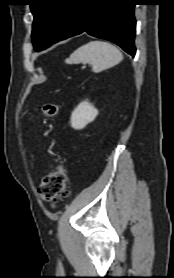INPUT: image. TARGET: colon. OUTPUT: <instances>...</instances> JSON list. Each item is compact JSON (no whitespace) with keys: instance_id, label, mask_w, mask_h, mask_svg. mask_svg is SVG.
I'll return each instance as SVG.
<instances>
[{"instance_id":"5ec220e1","label":"colon","mask_w":174,"mask_h":278,"mask_svg":"<svg viewBox=\"0 0 174 278\" xmlns=\"http://www.w3.org/2000/svg\"><path fill=\"white\" fill-rule=\"evenodd\" d=\"M41 112L46 117H54L59 112V106L55 103H46L42 106ZM38 192L42 200L52 205L69 196L67 172L62 164L42 179Z\"/></svg>"}]
</instances>
